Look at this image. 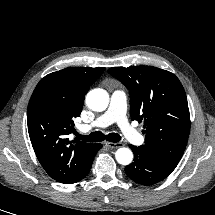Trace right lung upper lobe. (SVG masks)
I'll return each mask as SVG.
<instances>
[{
    "label": "right lung upper lobe",
    "instance_id": "1",
    "mask_svg": "<svg viewBox=\"0 0 215 215\" xmlns=\"http://www.w3.org/2000/svg\"><path fill=\"white\" fill-rule=\"evenodd\" d=\"M105 68L69 67L42 78L27 110L29 137L45 171L55 180L72 184L82 177L94 144L70 141L73 119L81 113L89 87Z\"/></svg>",
    "mask_w": 215,
    "mask_h": 215
}]
</instances>
